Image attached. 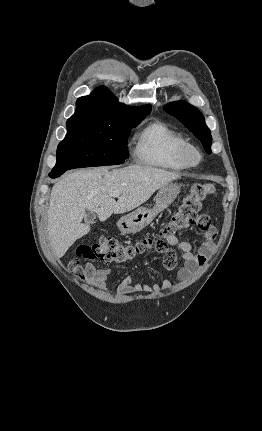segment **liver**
Segmentation results:
<instances>
[{"mask_svg": "<svg viewBox=\"0 0 262 431\" xmlns=\"http://www.w3.org/2000/svg\"><path fill=\"white\" fill-rule=\"evenodd\" d=\"M180 177V173L141 165L82 169L65 175L52 188L47 216L55 256H64L76 240L89 232V226L82 223L86 210L105 221L113 213L123 214L139 207L156 190ZM114 191L121 193L117 201L111 196Z\"/></svg>", "mask_w": 262, "mask_h": 431, "instance_id": "1", "label": "liver"}]
</instances>
